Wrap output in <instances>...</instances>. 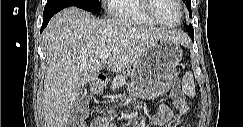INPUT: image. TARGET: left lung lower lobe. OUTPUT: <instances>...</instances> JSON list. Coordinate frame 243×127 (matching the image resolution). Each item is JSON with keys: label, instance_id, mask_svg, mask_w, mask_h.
I'll return each mask as SVG.
<instances>
[{"label": "left lung lower lobe", "instance_id": "0a47b994", "mask_svg": "<svg viewBox=\"0 0 243 127\" xmlns=\"http://www.w3.org/2000/svg\"><path fill=\"white\" fill-rule=\"evenodd\" d=\"M190 37L192 38V40H194V29L193 28H186Z\"/></svg>", "mask_w": 243, "mask_h": 127}]
</instances>
